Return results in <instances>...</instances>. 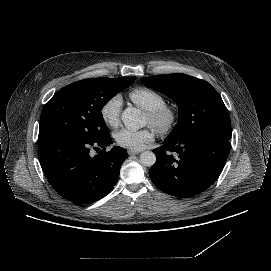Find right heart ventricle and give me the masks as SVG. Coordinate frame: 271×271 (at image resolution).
<instances>
[{"label": "right heart ventricle", "instance_id": "e07e8e85", "mask_svg": "<svg viewBox=\"0 0 271 271\" xmlns=\"http://www.w3.org/2000/svg\"><path fill=\"white\" fill-rule=\"evenodd\" d=\"M128 96L146 111H150L166 103L165 97L160 92L145 86L132 89Z\"/></svg>", "mask_w": 271, "mask_h": 271}]
</instances>
